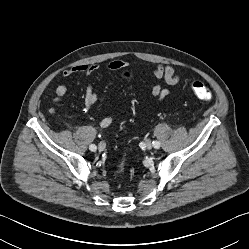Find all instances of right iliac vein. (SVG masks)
I'll return each mask as SVG.
<instances>
[{"label":"right iliac vein","instance_id":"right-iliac-vein-1","mask_svg":"<svg viewBox=\"0 0 249 249\" xmlns=\"http://www.w3.org/2000/svg\"><path fill=\"white\" fill-rule=\"evenodd\" d=\"M99 151H104L106 149V144L104 142H101L98 146Z\"/></svg>","mask_w":249,"mask_h":249}]
</instances>
